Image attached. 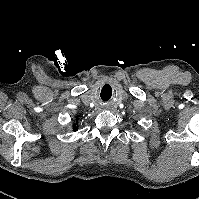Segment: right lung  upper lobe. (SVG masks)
Segmentation results:
<instances>
[{"label": "right lung upper lobe", "instance_id": "obj_1", "mask_svg": "<svg viewBox=\"0 0 199 199\" xmlns=\"http://www.w3.org/2000/svg\"><path fill=\"white\" fill-rule=\"evenodd\" d=\"M77 121H78V119H77ZM73 130H74V131H77V130H78L77 124H74V125H73Z\"/></svg>", "mask_w": 199, "mask_h": 199}]
</instances>
